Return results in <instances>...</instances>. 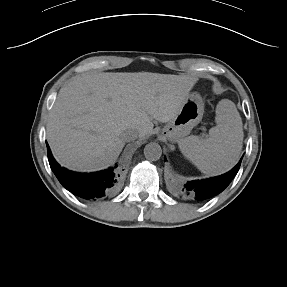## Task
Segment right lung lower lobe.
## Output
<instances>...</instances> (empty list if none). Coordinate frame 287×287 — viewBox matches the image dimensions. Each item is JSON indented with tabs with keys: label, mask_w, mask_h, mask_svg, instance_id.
I'll use <instances>...</instances> for the list:
<instances>
[{
	"label": "right lung lower lobe",
	"mask_w": 287,
	"mask_h": 287,
	"mask_svg": "<svg viewBox=\"0 0 287 287\" xmlns=\"http://www.w3.org/2000/svg\"><path fill=\"white\" fill-rule=\"evenodd\" d=\"M47 150L51 169L60 183L73 194L94 201L111 194L115 190L118 176L113 169L89 174L71 172L59 166L48 145Z\"/></svg>",
	"instance_id": "obj_1"
}]
</instances>
